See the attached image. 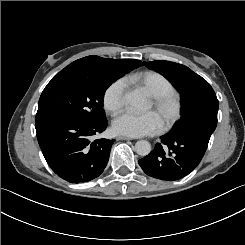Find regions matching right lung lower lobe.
<instances>
[{
    "label": "right lung lower lobe",
    "instance_id": "right-lung-lower-lobe-1",
    "mask_svg": "<svg viewBox=\"0 0 245 245\" xmlns=\"http://www.w3.org/2000/svg\"><path fill=\"white\" fill-rule=\"evenodd\" d=\"M106 127V119L95 123L67 118L35 122L38 143L48 165L70 183L88 182L104 171L114 140L90 139Z\"/></svg>",
    "mask_w": 245,
    "mask_h": 245
}]
</instances>
